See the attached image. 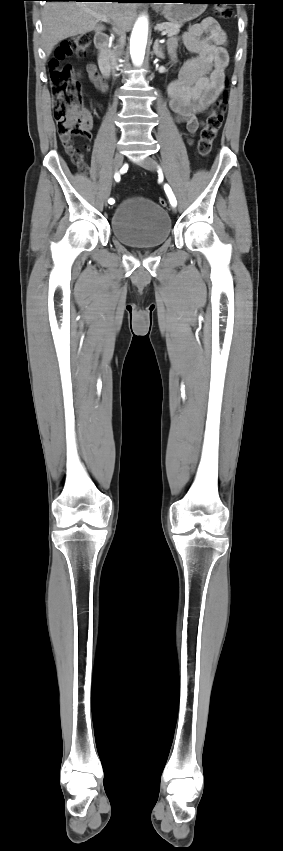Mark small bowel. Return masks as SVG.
Listing matches in <instances>:
<instances>
[{
	"label": "small bowel",
	"mask_w": 283,
	"mask_h": 851,
	"mask_svg": "<svg viewBox=\"0 0 283 851\" xmlns=\"http://www.w3.org/2000/svg\"><path fill=\"white\" fill-rule=\"evenodd\" d=\"M182 42L195 56L184 63L178 79L169 85V107L175 121L183 124L186 135L191 137L200 127L198 116L209 112L224 88L225 69L229 63L228 39L220 24L214 18L206 17L182 35ZM177 44V38L168 41L172 58ZM86 72L92 86L96 87V93L109 91L110 82L94 64H88ZM62 144L69 156L70 151L76 150L71 141H62ZM86 148L89 149V146Z\"/></svg>",
	"instance_id": "small-bowel-1"
}]
</instances>
